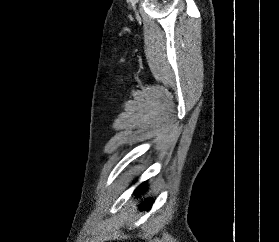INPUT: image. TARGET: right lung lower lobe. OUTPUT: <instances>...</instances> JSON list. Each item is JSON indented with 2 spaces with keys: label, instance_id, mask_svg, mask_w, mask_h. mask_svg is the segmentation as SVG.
I'll return each mask as SVG.
<instances>
[{
  "label": "right lung lower lobe",
  "instance_id": "98d812e1",
  "mask_svg": "<svg viewBox=\"0 0 279 242\" xmlns=\"http://www.w3.org/2000/svg\"><path fill=\"white\" fill-rule=\"evenodd\" d=\"M143 184H141L138 188H137V190L139 191V192H141V191H143ZM152 204H153V201H146L144 204H142L141 206H140V209L141 210H149L150 208H151V206H152Z\"/></svg>",
  "mask_w": 279,
  "mask_h": 242
}]
</instances>
